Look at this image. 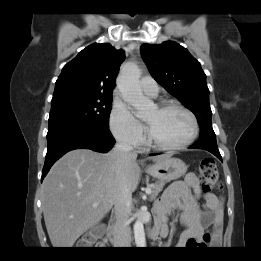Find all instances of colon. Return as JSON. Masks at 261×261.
I'll return each instance as SVG.
<instances>
[{
	"label": "colon",
	"mask_w": 261,
	"mask_h": 261,
	"mask_svg": "<svg viewBox=\"0 0 261 261\" xmlns=\"http://www.w3.org/2000/svg\"><path fill=\"white\" fill-rule=\"evenodd\" d=\"M199 171L202 181V189L204 191H210L212 189H220L221 184L219 181V173L216 164L213 159L209 157L202 158L199 164ZM95 242V238L92 237L89 240L82 243L83 246H92ZM205 240H192L189 246L203 245Z\"/></svg>",
	"instance_id": "5ec220e1"
}]
</instances>
